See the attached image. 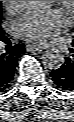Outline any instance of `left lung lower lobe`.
I'll return each instance as SVG.
<instances>
[{
    "label": "left lung lower lobe",
    "mask_w": 74,
    "mask_h": 122,
    "mask_svg": "<svg viewBox=\"0 0 74 122\" xmlns=\"http://www.w3.org/2000/svg\"><path fill=\"white\" fill-rule=\"evenodd\" d=\"M70 53L72 54L65 57V62L60 68L50 72V76L60 89L74 91V41Z\"/></svg>",
    "instance_id": "left-lung-lower-lobe-1"
}]
</instances>
